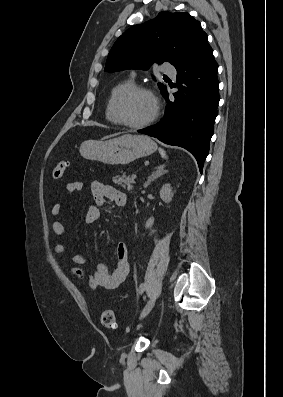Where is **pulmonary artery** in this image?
<instances>
[{
    "instance_id": "1",
    "label": "pulmonary artery",
    "mask_w": 283,
    "mask_h": 397,
    "mask_svg": "<svg viewBox=\"0 0 283 397\" xmlns=\"http://www.w3.org/2000/svg\"><path fill=\"white\" fill-rule=\"evenodd\" d=\"M164 72H165L166 74L172 75V76H174V75L176 74V70H175V68L172 67V66H166V67L164 68Z\"/></svg>"
}]
</instances>
